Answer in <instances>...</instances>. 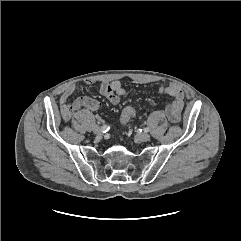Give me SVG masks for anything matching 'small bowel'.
<instances>
[{"label":"small bowel","mask_w":241,"mask_h":241,"mask_svg":"<svg viewBox=\"0 0 241 241\" xmlns=\"http://www.w3.org/2000/svg\"><path fill=\"white\" fill-rule=\"evenodd\" d=\"M90 84V82H88ZM76 86L71 84L63 91L60 98V112L64 121H70L73 115L80 109L85 108L90 111H97L100 108V102L88 96H81L70 103L69 98L74 92ZM98 89L104 95L111 105L119 104L122 96L127 94V90L118 80L111 82H101ZM159 92L167 94L173 98V101L167 105L165 112L172 123L179 122L184 107V92L176 84H168L159 88Z\"/></svg>","instance_id":"1"}]
</instances>
